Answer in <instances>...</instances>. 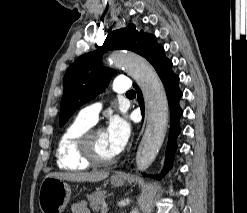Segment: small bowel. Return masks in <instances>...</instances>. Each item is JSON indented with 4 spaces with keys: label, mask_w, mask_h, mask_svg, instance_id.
I'll return each instance as SVG.
<instances>
[{
    "label": "small bowel",
    "mask_w": 247,
    "mask_h": 213,
    "mask_svg": "<svg viewBox=\"0 0 247 213\" xmlns=\"http://www.w3.org/2000/svg\"><path fill=\"white\" fill-rule=\"evenodd\" d=\"M73 213H90L86 202L76 203L72 206Z\"/></svg>",
    "instance_id": "c3829d8e"
}]
</instances>
